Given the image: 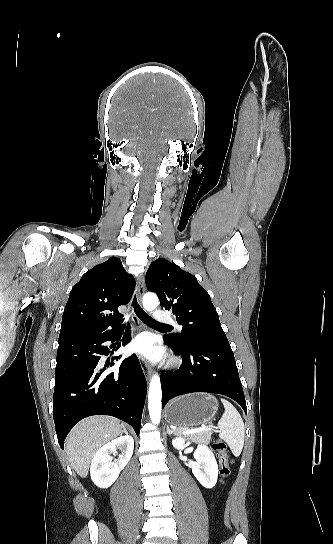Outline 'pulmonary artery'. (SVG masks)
Masks as SVG:
<instances>
[{
  "mask_svg": "<svg viewBox=\"0 0 333 544\" xmlns=\"http://www.w3.org/2000/svg\"><path fill=\"white\" fill-rule=\"evenodd\" d=\"M153 316H154V319L157 322H168V323H173L174 322L173 319L171 318V316L168 313H165V312L160 311V310L154 311Z\"/></svg>",
  "mask_w": 333,
  "mask_h": 544,
  "instance_id": "e3ab8cb5",
  "label": "pulmonary artery"
}]
</instances>
